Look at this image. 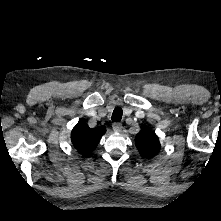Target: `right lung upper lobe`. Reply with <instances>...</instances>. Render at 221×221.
<instances>
[{
  "instance_id": "right-lung-upper-lobe-1",
  "label": "right lung upper lobe",
  "mask_w": 221,
  "mask_h": 221,
  "mask_svg": "<svg viewBox=\"0 0 221 221\" xmlns=\"http://www.w3.org/2000/svg\"><path fill=\"white\" fill-rule=\"evenodd\" d=\"M105 132L104 126L91 129L85 121H79L72 130L71 140L74 147L87 157L96 148Z\"/></svg>"
}]
</instances>
